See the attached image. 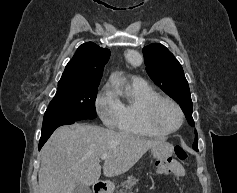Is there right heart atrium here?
Listing matches in <instances>:
<instances>
[{"label": "right heart atrium", "mask_w": 237, "mask_h": 193, "mask_svg": "<svg viewBox=\"0 0 237 193\" xmlns=\"http://www.w3.org/2000/svg\"><path fill=\"white\" fill-rule=\"evenodd\" d=\"M95 107L101 120L114 127L118 114V101L109 85L103 86L95 99Z\"/></svg>", "instance_id": "obj_1"}]
</instances>
